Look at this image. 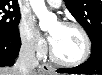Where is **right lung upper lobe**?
I'll use <instances>...</instances> for the list:
<instances>
[{
    "label": "right lung upper lobe",
    "mask_w": 102,
    "mask_h": 75,
    "mask_svg": "<svg viewBox=\"0 0 102 75\" xmlns=\"http://www.w3.org/2000/svg\"><path fill=\"white\" fill-rule=\"evenodd\" d=\"M0 2L16 3L17 4V0H0Z\"/></svg>",
    "instance_id": "cb5924a9"
}]
</instances>
